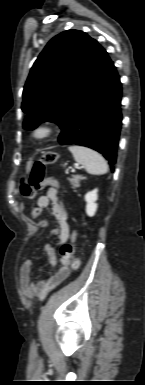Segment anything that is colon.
<instances>
[{
	"label": "colon",
	"mask_w": 145,
	"mask_h": 385,
	"mask_svg": "<svg viewBox=\"0 0 145 385\" xmlns=\"http://www.w3.org/2000/svg\"><path fill=\"white\" fill-rule=\"evenodd\" d=\"M59 155L56 152H46L40 159L33 163L27 174L23 177L21 182V192L23 195L33 198L37 191L42 189L44 185L48 184L45 181V168L47 165L57 162ZM34 217H38L41 211L34 209ZM76 237L72 238L71 244L62 246L60 254L62 258L69 259L73 268L79 265L78 259L74 257Z\"/></svg>",
	"instance_id": "obj_1"
}]
</instances>
